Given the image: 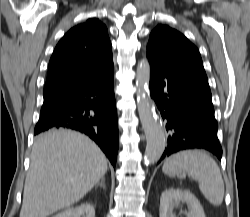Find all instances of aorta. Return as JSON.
Returning a JSON list of instances; mask_svg holds the SVG:
<instances>
[{
	"label": "aorta",
	"mask_w": 250,
	"mask_h": 217,
	"mask_svg": "<svg viewBox=\"0 0 250 217\" xmlns=\"http://www.w3.org/2000/svg\"><path fill=\"white\" fill-rule=\"evenodd\" d=\"M149 80V62L142 60L136 70L137 107L147 140L144 160L148 164H153L162 156L166 146V138L162 123L155 113L154 105L147 96Z\"/></svg>",
	"instance_id": "1"
}]
</instances>
